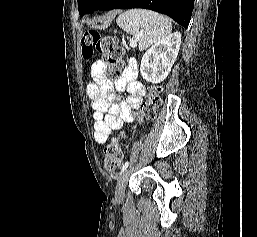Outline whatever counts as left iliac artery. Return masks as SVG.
I'll return each instance as SVG.
<instances>
[{
    "label": "left iliac artery",
    "instance_id": "44dca946",
    "mask_svg": "<svg viewBox=\"0 0 257 237\" xmlns=\"http://www.w3.org/2000/svg\"><path fill=\"white\" fill-rule=\"evenodd\" d=\"M128 166H129V162L126 161V162L122 165V167H121V172H123L124 170H126Z\"/></svg>",
    "mask_w": 257,
    "mask_h": 237
}]
</instances>
